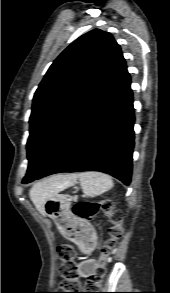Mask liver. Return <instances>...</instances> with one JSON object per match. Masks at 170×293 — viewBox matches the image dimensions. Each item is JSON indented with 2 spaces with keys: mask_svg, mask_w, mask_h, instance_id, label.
<instances>
[{
  "mask_svg": "<svg viewBox=\"0 0 170 293\" xmlns=\"http://www.w3.org/2000/svg\"><path fill=\"white\" fill-rule=\"evenodd\" d=\"M76 178V174L58 175L36 184L29 194L36 209L45 216L44 204L47 198L72 185Z\"/></svg>",
  "mask_w": 170,
  "mask_h": 293,
  "instance_id": "liver-1",
  "label": "liver"
}]
</instances>
